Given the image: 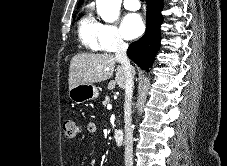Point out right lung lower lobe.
Returning <instances> with one entry per match:
<instances>
[{"mask_svg": "<svg viewBox=\"0 0 227 166\" xmlns=\"http://www.w3.org/2000/svg\"><path fill=\"white\" fill-rule=\"evenodd\" d=\"M147 26L143 37L130 44L127 54L140 68L149 69L160 46L163 0H146Z\"/></svg>", "mask_w": 227, "mask_h": 166, "instance_id": "1", "label": "right lung lower lobe"}]
</instances>
